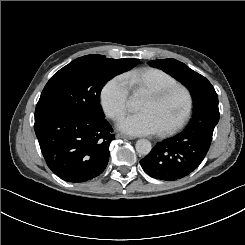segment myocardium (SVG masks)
I'll use <instances>...</instances> for the list:
<instances>
[{
	"label": "myocardium",
	"instance_id": "f54148a6",
	"mask_svg": "<svg viewBox=\"0 0 245 245\" xmlns=\"http://www.w3.org/2000/svg\"><path fill=\"white\" fill-rule=\"evenodd\" d=\"M181 92L185 98V110L183 114L169 126L160 130L162 135H170L181 128L190 118L193 109V97L190 90L184 85H173L169 87L151 86L148 87L143 95L152 96L156 102L160 103L168 99L170 96Z\"/></svg>",
	"mask_w": 245,
	"mask_h": 245
}]
</instances>
